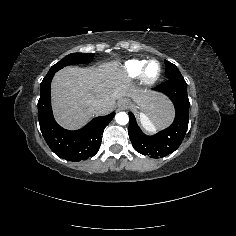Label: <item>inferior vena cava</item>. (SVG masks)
I'll use <instances>...</instances> for the list:
<instances>
[{"mask_svg":"<svg viewBox=\"0 0 236 236\" xmlns=\"http://www.w3.org/2000/svg\"><path fill=\"white\" fill-rule=\"evenodd\" d=\"M101 106H102V103L100 101H97V100L93 101L90 105V107L95 109V110L101 108Z\"/></svg>","mask_w":236,"mask_h":236,"instance_id":"602c4592","label":"inferior vena cava"}]
</instances>
